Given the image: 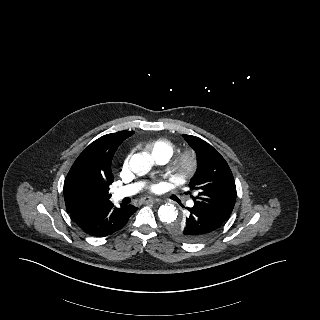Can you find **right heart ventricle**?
<instances>
[{"label":"right heart ventricle","mask_w":320,"mask_h":320,"mask_svg":"<svg viewBox=\"0 0 320 320\" xmlns=\"http://www.w3.org/2000/svg\"><path fill=\"white\" fill-rule=\"evenodd\" d=\"M145 150L154 159L163 156L170 158L174 151V144L166 138H158L147 142Z\"/></svg>","instance_id":"right-heart-ventricle-1"}]
</instances>
